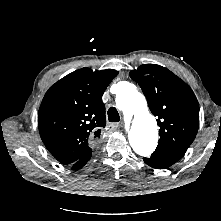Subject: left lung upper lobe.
Here are the masks:
<instances>
[{
  "label": "left lung upper lobe",
  "instance_id": "left-lung-upper-lobe-1",
  "mask_svg": "<svg viewBox=\"0 0 221 221\" xmlns=\"http://www.w3.org/2000/svg\"><path fill=\"white\" fill-rule=\"evenodd\" d=\"M129 75L140 85L149 109L157 117L160 139L156 151L183 156L199 127V104L192 89L155 64H144Z\"/></svg>",
  "mask_w": 221,
  "mask_h": 221
}]
</instances>
